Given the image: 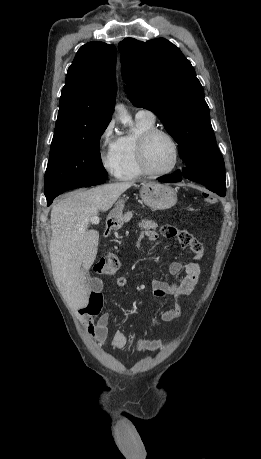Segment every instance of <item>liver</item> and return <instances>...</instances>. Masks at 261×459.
Masks as SVG:
<instances>
[{
  "label": "liver",
  "instance_id": "liver-1",
  "mask_svg": "<svg viewBox=\"0 0 261 459\" xmlns=\"http://www.w3.org/2000/svg\"><path fill=\"white\" fill-rule=\"evenodd\" d=\"M131 186L130 182H117L77 190L52 208L49 253L53 275L64 300L75 313L88 303L86 273L98 251L99 233L88 230L89 220L109 210ZM130 217L128 213L124 219Z\"/></svg>",
  "mask_w": 261,
  "mask_h": 459
}]
</instances>
